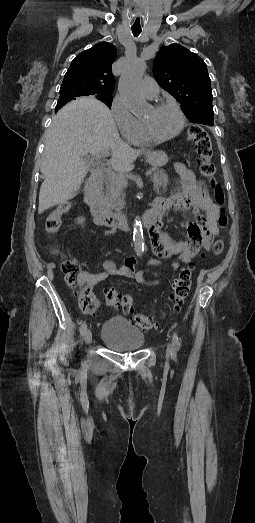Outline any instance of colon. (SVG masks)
Segmentation results:
<instances>
[{"mask_svg": "<svg viewBox=\"0 0 255 523\" xmlns=\"http://www.w3.org/2000/svg\"><path fill=\"white\" fill-rule=\"evenodd\" d=\"M188 139L194 144L197 156V162L200 172L214 187V199L221 207L218 217V224L221 229H225L228 225V216L226 215L222 206L225 202V195L223 188L216 182L215 174L216 167L212 161V143L206 130L199 126L193 125L188 130ZM71 209V202L65 201L57 206V208L47 217L45 223V230L49 236H53L61 228L63 223V216ZM224 248V243L221 239L217 240L213 245V253L220 254ZM52 253L59 254L60 251L56 246H52ZM62 269L65 275L66 283L72 287L77 288L79 293V303L83 311L93 313L97 307L98 302L90 286L83 280L82 271L77 260L68 258L63 261ZM193 275V268L186 267L182 269L173 282L171 289L172 309L179 311L185 298L187 297ZM105 301L108 306L122 307L125 312H132L134 307V297L130 293L120 295L116 290H108L105 295ZM134 322L142 329H153L157 327L156 322L152 317L145 314H136L133 317Z\"/></svg>", "mask_w": 255, "mask_h": 523, "instance_id": "colon-1", "label": "colon"}]
</instances>
